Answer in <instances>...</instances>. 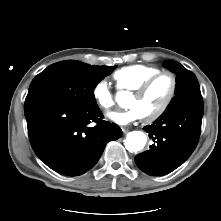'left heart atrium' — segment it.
<instances>
[{
	"instance_id": "1",
	"label": "left heart atrium",
	"mask_w": 221,
	"mask_h": 221,
	"mask_svg": "<svg viewBox=\"0 0 221 221\" xmlns=\"http://www.w3.org/2000/svg\"><path fill=\"white\" fill-rule=\"evenodd\" d=\"M140 118V113L134 108H130L125 111H115L109 114V119L121 126L129 125Z\"/></svg>"
}]
</instances>
